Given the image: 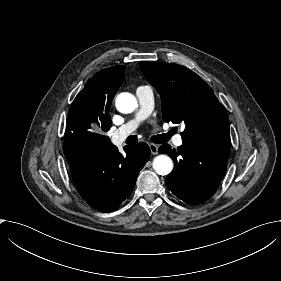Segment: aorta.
Instances as JSON below:
<instances>
[{"instance_id": "762f6f07", "label": "aorta", "mask_w": 281, "mask_h": 281, "mask_svg": "<svg viewBox=\"0 0 281 281\" xmlns=\"http://www.w3.org/2000/svg\"><path fill=\"white\" fill-rule=\"evenodd\" d=\"M115 106L121 113H132L137 107V99L134 95L128 92L118 94L115 100ZM174 167L172 159L164 154L154 158L153 169L159 175H168L172 172Z\"/></svg>"}]
</instances>
